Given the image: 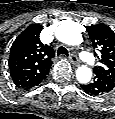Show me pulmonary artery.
<instances>
[{"instance_id": "1", "label": "pulmonary artery", "mask_w": 115, "mask_h": 119, "mask_svg": "<svg viewBox=\"0 0 115 119\" xmlns=\"http://www.w3.org/2000/svg\"><path fill=\"white\" fill-rule=\"evenodd\" d=\"M80 56L85 62H87L88 64H91V58L86 52L82 51L80 53Z\"/></svg>"}]
</instances>
